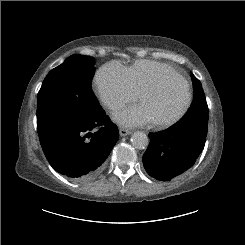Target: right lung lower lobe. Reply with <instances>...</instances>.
I'll use <instances>...</instances> for the list:
<instances>
[{
	"label": "right lung lower lobe",
	"mask_w": 245,
	"mask_h": 245,
	"mask_svg": "<svg viewBox=\"0 0 245 245\" xmlns=\"http://www.w3.org/2000/svg\"><path fill=\"white\" fill-rule=\"evenodd\" d=\"M38 134L51 166L76 181L95 178L119 138L117 126L102 110L88 118L60 122Z\"/></svg>",
	"instance_id": "obj_1"
}]
</instances>
